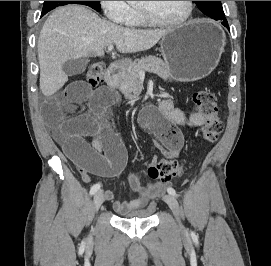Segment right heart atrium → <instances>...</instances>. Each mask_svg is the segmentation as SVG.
<instances>
[{
	"label": "right heart atrium",
	"instance_id": "d8ad5b80",
	"mask_svg": "<svg viewBox=\"0 0 271 266\" xmlns=\"http://www.w3.org/2000/svg\"><path fill=\"white\" fill-rule=\"evenodd\" d=\"M106 18L117 25H126L129 23L133 9L127 1H100Z\"/></svg>",
	"mask_w": 271,
	"mask_h": 266
}]
</instances>
